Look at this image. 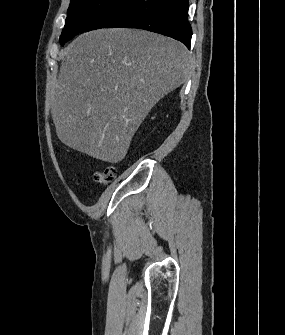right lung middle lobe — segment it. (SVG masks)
<instances>
[{
    "instance_id": "dd1d6c3e",
    "label": "right lung middle lobe",
    "mask_w": 285,
    "mask_h": 335,
    "mask_svg": "<svg viewBox=\"0 0 285 335\" xmlns=\"http://www.w3.org/2000/svg\"><path fill=\"white\" fill-rule=\"evenodd\" d=\"M116 0H71L65 27L60 36V43L72 39L97 16L108 9Z\"/></svg>"
}]
</instances>
